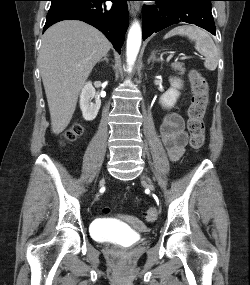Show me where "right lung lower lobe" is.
I'll return each mask as SVG.
<instances>
[{
  "instance_id": "98d812e1",
  "label": "right lung lower lobe",
  "mask_w": 250,
  "mask_h": 285,
  "mask_svg": "<svg viewBox=\"0 0 250 285\" xmlns=\"http://www.w3.org/2000/svg\"><path fill=\"white\" fill-rule=\"evenodd\" d=\"M105 1L74 0L51 6L43 31L65 19L81 20L99 29L120 53L129 24L128 0H110L113 2L111 8L106 7Z\"/></svg>"
}]
</instances>
